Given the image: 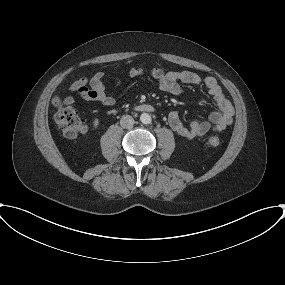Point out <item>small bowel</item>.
Masks as SVG:
<instances>
[{"mask_svg":"<svg viewBox=\"0 0 285 285\" xmlns=\"http://www.w3.org/2000/svg\"><path fill=\"white\" fill-rule=\"evenodd\" d=\"M129 76L149 75L157 80L159 88L173 95L180 96L183 94L182 84L193 86H203L215 101L218 111L212 112L208 120L193 121L188 127L184 126L179 118L177 111H171L168 116L170 127L181 137L187 140H193L197 137L205 135L211 129L215 131H223L228 127L234 116V109L230 101L225 97L222 88L212 76L201 77L191 71H165L163 69L154 68L145 70L142 68H131ZM104 73L97 72L90 78H80L75 81L69 88L71 92L78 96L99 102L105 106H113L115 99L106 94L103 84Z\"/></svg>","mask_w":285,"mask_h":285,"instance_id":"small-bowel-1","label":"small bowel"}]
</instances>
